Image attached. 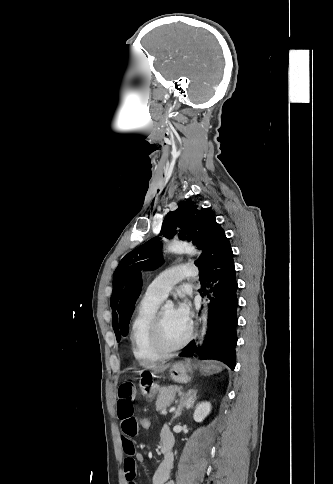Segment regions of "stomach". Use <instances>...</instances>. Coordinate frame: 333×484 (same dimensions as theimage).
<instances>
[{
	"instance_id": "obj_1",
	"label": "stomach",
	"mask_w": 333,
	"mask_h": 484,
	"mask_svg": "<svg viewBox=\"0 0 333 484\" xmlns=\"http://www.w3.org/2000/svg\"><path fill=\"white\" fill-rule=\"evenodd\" d=\"M188 363L181 361L169 366L168 371L170 378L177 383H186L190 380L187 375ZM202 369L205 374H214L221 371V366L216 362H205L202 364ZM141 393L144 397L152 399L160 390L159 386L153 382L152 379L142 378L139 383Z\"/></svg>"
}]
</instances>
